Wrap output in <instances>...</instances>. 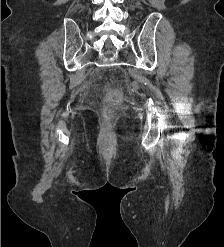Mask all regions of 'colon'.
<instances>
[{"label": "colon", "instance_id": "obj_1", "mask_svg": "<svg viewBox=\"0 0 224 247\" xmlns=\"http://www.w3.org/2000/svg\"><path fill=\"white\" fill-rule=\"evenodd\" d=\"M121 93L116 89H108L106 94V104L109 109L119 103Z\"/></svg>", "mask_w": 224, "mask_h": 247}]
</instances>
